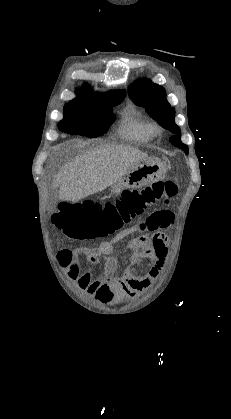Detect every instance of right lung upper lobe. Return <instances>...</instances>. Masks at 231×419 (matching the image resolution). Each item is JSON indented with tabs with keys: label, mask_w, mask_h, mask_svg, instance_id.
<instances>
[{
	"label": "right lung upper lobe",
	"mask_w": 231,
	"mask_h": 419,
	"mask_svg": "<svg viewBox=\"0 0 231 419\" xmlns=\"http://www.w3.org/2000/svg\"><path fill=\"white\" fill-rule=\"evenodd\" d=\"M76 94L77 97L70 102H108L125 97L124 90H113L106 94H93L88 85H86L82 90H77Z\"/></svg>",
	"instance_id": "right-lung-upper-lobe-1"
}]
</instances>
